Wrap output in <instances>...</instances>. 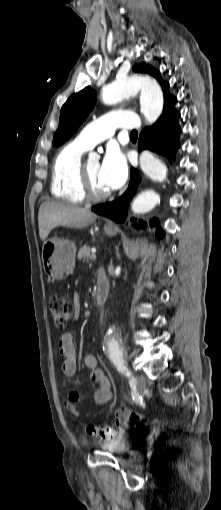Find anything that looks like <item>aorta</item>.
Returning a JSON list of instances; mask_svg holds the SVG:
<instances>
[{"label": "aorta", "mask_w": 221, "mask_h": 510, "mask_svg": "<svg viewBox=\"0 0 221 510\" xmlns=\"http://www.w3.org/2000/svg\"><path fill=\"white\" fill-rule=\"evenodd\" d=\"M138 91H141V112L149 123H154L163 110V93L156 81L148 76L131 75L117 79L103 88L102 100L107 105H114ZM139 161L142 171L150 179L157 182H163L166 179V165L152 153L144 151ZM158 203H160L159 194L148 189L134 199L131 209L134 213H146L155 208ZM103 344L108 350L119 347V336L114 328L107 329Z\"/></svg>", "instance_id": "762f6f07"}]
</instances>
